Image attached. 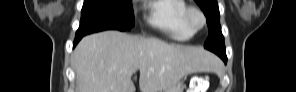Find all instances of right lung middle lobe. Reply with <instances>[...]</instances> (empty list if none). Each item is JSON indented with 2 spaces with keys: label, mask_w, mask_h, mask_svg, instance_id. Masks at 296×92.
Wrapping results in <instances>:
<instances>
[{
  "label": "right lung middle lobe",
  "mask_w": 296,
  "mask_h": 92,
  "mask_svg": "<svg viewBox=\"0 0 296 92\" xmlns=\"http://www.w3.org/2000/svg\"><path fill=\"white\" fill-rule=\"evenodd\" d=\"M131 0H85L76 36L102 30H131L134 27Z\"/></svg>",
  "instance_id": "right-lung-middle-lobe-1"
}]
</instances>
